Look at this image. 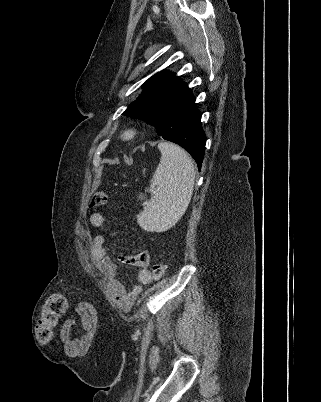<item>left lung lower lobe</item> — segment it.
<instances>
[{
    "label": "left lung lower lobe",
    "mask_w": 321,
    "mask_h": 402,
    "mask_svg": "<svg viewBox=\"0 0 321 402\" xmlns=\"http://www.w3.org/2000/svg\"><path fill=\"white\" fill-rule=\"evenodd\" d=\"M201 114L195 97L186 83L181 82L164 99L154 124L158 135L174 142L195 159L200 170L206 144Z\"/></svg>",
    "instance_id": "left-lung-lower-lobe-1"
}]
</instances>
